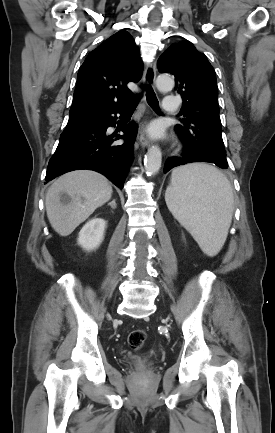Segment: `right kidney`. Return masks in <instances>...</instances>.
<instances>
[{
    "label": "right kidney",
    "instance_id": "right-kidney-1",
    "mask_svg": "<svg viewBox=\"0 0 275 433\" xmlns=\"http://www.w3.org/2000/svg\"><path fill=\"white\" fill-rule=\"evenodd\" d=\"M106 222L102 218H92L80 230L78 244L87 251L95 250L104 239Z\"/></svg>",
    "mask_w": 275,
    "mask_h": 433
}]
</instances>
